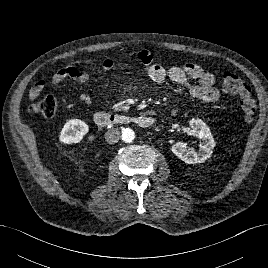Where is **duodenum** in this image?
I'll use <instances>...</instances> for the list:
<instances>
[{
	"mask_svg": "<svg viewBox=\"0 0 268 268\" xmlns=\"http://www.w3.org/2000/svg\"><path fill=\"white\" fill-rule=\"evenodd\" d=\"M95 123L98 126H114L116 124L134 123L139 127H150L154 124V119L149 115H140L136 118L129 119L120 114H111L106 112L97 113L95 116Z\"/></svg>",
	"mask_w": 268,
	"mask_h": 268,
	"instance_id": "duodenum-1",
	"label": "duodenum"
}]
</instances>
